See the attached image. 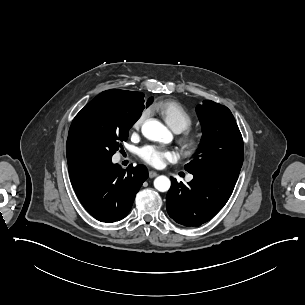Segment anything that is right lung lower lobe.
I'll list each match as a JSON object with an SVG mask.
<instances>
[{"instance_id":"right-lung-lower-lobe-1","label":"right lung lower lobe","mask_w":305,"mask_h":305,"mask_svg":"<svg viewBox=\"0 0 305 305\" xmlns=\"http://www.w3.org/2000/svg\"><path fill=\"white\" fill-rule=\"evenodd\" d=\"M75 193L86 210L101 222H115L130 211L137 192L148 178L145 166L125 173L112 162L104 165L73 164L68 167Z\"/></svg>"}]
</instances>
